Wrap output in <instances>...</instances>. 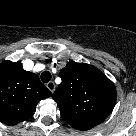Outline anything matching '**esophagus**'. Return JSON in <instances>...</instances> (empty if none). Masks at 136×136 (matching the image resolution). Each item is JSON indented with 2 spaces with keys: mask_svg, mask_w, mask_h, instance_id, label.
<instances>
[{
  "mask_svg": "<svg viewBox=\"0 0 136 136\" xmlns=\"http://www.w3.org/2000/svg\"><path fill=\"white\" fill-rule=\"evenodd\" d=\"M46 87L51 91V92H54L55 89H56V85L53 81H49L47 84H46Z\"/></svg>",
  "mask_w": 136,
  "mask_h": 136,
  "instance_id": "34e87169",
  "label": "esophagus"
}]
</instances>
